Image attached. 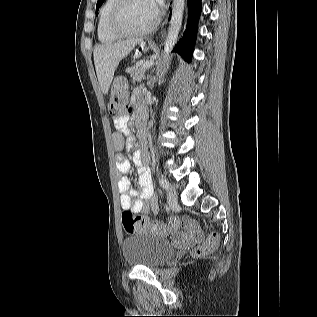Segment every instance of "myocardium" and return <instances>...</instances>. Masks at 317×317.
<instances>
[{
  "label": "myocardium",
  "mask_w": 317,
  "mask_h": 317,
  "mask_svg": "<svg viewBox=\"0 0 317 317\" xmlns=\"http://www.w3.org/2000/svg\"><path fill=\"white\" fill-rule=\"evenodd\" d=\"M129 1L130 0H117V3L115 4L109 19V28L111 32L119 37H138L151 33L160 22L159 10H157V14L153 22L144 29L131 31L121 25V17Z\"/></svg>",
  "instance_id": "obj_1"
}]
</instances>
